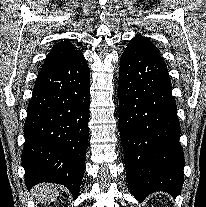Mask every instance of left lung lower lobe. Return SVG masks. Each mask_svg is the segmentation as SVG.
Masks as SVG:
<instances>
[{
  "label": "left lung lower lobe",
  "mask_w": 206,
  "mask_h": 207,
  "mask_svg": "<svg viewBox=\"0 0 206 207\" xmlns=\"http://www.w3.org/2000/svg\"><path fill=\"white\" fill-rule=\"evenodd\" d=\"M119 130L129 188L138 201L156 191L176 197L184 179L180 124L166 64L128 45L119 68Z\"/></svg>",
  "instance_id": "0a47b994"
}]
</instances>
